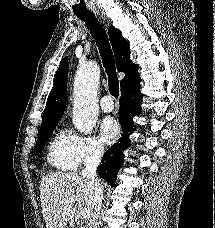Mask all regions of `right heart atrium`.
Instances as JSON below:
<instances>
[{"mask_svg":"<svg viewBox=\"0 0 215 228\" xmlns=\"http://www.w3.org/2000/svg\"><path fill=\"white\" fill-rule=\"evenodd\" d=\"M76 141L79 163L89 164L99 162L105 155V144L94 134L78 135L76 136Z\"/></svg>","mask_w":215,"mask_h":228,"instance_id":"right-heart-atrium-1","label":"right heart atrium"}]
</instances>
